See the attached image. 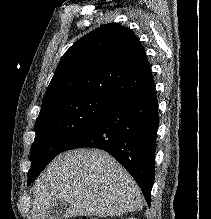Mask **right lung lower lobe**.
Returning a JSON list of instances; mask_svg holds the SVG:
<instances>
[{
    "label": "right lung lower lobe",
    "mask_w": 211,
    "mask_h": 219,
    "mask_svg": "<svg viewBox=\"0 0 211 219\" xmlns=\"http://www.w3.org/2000/svg\"><path fill=\"white\" fill-rule=\"evenodd\" d=\"M158 125V101L152 81L115 103L64 151L83 147L107 151L132 175L150 206Z\"/></svg>",
    "instance_id": "obj_1"
}]
</instances>
